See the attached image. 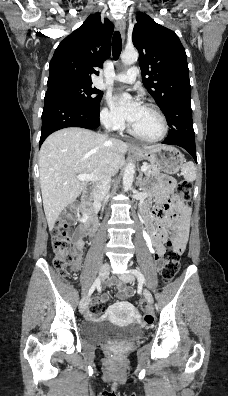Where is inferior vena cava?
<instances>
[{
  "instance_id": "602c4592",
  "label": "inferior vena cava",
  "mask_w": 228,
  "mask_h": 396,
  "mask_svg": "<svg viewBox=\"0 0 228 396\" xmlns=\"http://www.w3.org/2000/svg\"><path fill=\"white\" fill-rule=\"evenodd\" d=\"M106 128L108 129L107 125ZM109 189H110V176L101 180L99 183H96L93 189L94 199L98 202H102L104 199H106Z\"/></svg>"
}]
</instances>
